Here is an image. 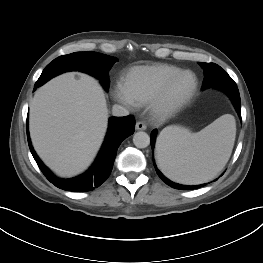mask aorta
Instances as JSON below:
<instances>
[{
    "label": "aorta",
    "instance_id": "obj_1",
    "mask_svg": "<svg viewBox=\"0 0 263 263\" xmlns=\"http://www.w3.org/2000/svg\"><path fill=\"white\" fill-rule=\"evenodd\" d=\"M133 143L137 148H146L150 144V137L146 132L139 131L134 134Z\"/></svg>",
    "mask_w": 263,
    "mask_h": 263
}]
</instances>
